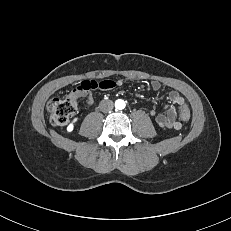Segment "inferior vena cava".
<instances>
[{
  "label": "inferior vena cava",
  "mask_w": 231,
  "mask_h": 231,
  "mask_svg": "<svg viewBox=\"0 0 231 231\" xmlns=\"http://www.w3.org/2000/svg\"><path fill=\"white\" fill-rule=\"evenodd\" d=\"M114 105L111 100H102L99 104V108L102 112L106 113L113 109Z\"/></svg>",
  "instance_id": "obj_1"
}]
</instances>
